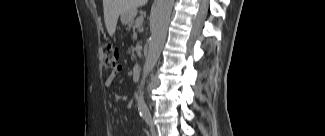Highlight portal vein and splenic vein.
Masks as SVG:
<instances>
[{
  "label": "portal vein and splenic vein",
  "instance_id": "portal-vein-and-splenic-vein-1",
  "mask_svg": "<svg viewBox=\"0 0 325 136\" xmlns=\"http://www.w3.org/2000/svg\"><path fill=\"white\" fill-rule=\"evenodd\" d=\"M138 25H140L143 22V17L141 16L140 18L137 19Z\"/></svg>",
  "mask_w": 325,
  "mask_h": 136
}]
</instances>
